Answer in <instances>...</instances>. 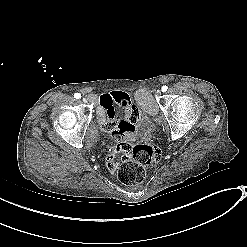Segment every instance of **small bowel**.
<instances>
[{
  "instance_id": "1",
  "label": "small bowel",
  "mask_w": 247,
  "mask_h": 247,
  "mask_svg": "<svg viewBox=\"0 0 247 247\" xmlns=\"http://www.w3.org/2000/svg\"><path fill=\"white\" fill-rule=\"evenodd\" d=\"M127 104V98L121 92H112L104 95L101 98V105L103 107V112L99 115V120L103 124H109L114 121V119L118 118L121 109L125 108ZM128 114V120H121L117 123L115 130L112 133V140L115 143H118L114 150L116 152H124L126 150V146L122 143L125 140V135H130L133 131V125L131 122L139 119L140 111L134 105L130 106V112ZM106 164L105 167L108 171L113 172L116 170L117 165L115 163L116 158L114 155L109 154L105 158Z\"/></svg>"
}]
</instances>
